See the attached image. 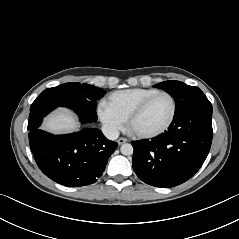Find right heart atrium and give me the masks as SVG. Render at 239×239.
<instances>
[{
  "instance_id": "obj_1",
  "label": "right heart atrium",
  "mask_w": 239,
  "mask_h": 239,
  "mask_svg": "<svg viewBox=\"0 0 239 239\" xmlns=\"http://www.w3.org/2000/svg\"><path fill=\"white\" fill-rule=\"evenodd\" d=\"M99 117L109 132L115 134L124 125L125 120L110 110L104 103L99 106Z\"/></svg>"
}]
</instances>
